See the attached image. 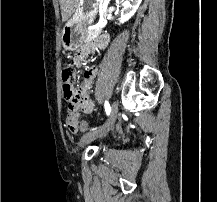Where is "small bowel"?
Instances as JSON below:
<instances>
[{"mask_svg": "<svg viewBox=\"0 0 217 202\" xmlns=\"http://www.w3.org/2000/svg\"><path fill=\"white\" fill-rule=\"evenodd\" d=\"M109 42V38L106 35H101L97 40L93 42H88L81 48L74 59V63L76 66H81L82 61L88 53L94 52L96 49H104ZM97 74V70L95 68H90L85 71L84 75V84L85 86L90 85ZM94 106H96V101H84V107H82L83 111L86 113H92L94 111ZM68 111V110H67ZM73 114H68L67 116H76V121H73L77 125V129L74 131L80 130V126H87L86 122H80V112L78 109L73 110ZM67 118V117H66ZM67 120V119H66Z\"/></svg>", "mask_w": 217, "mask_h": 202, "instance_id": "c3829d8e", "label": "small bowel"}]
</instances>
